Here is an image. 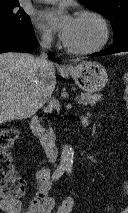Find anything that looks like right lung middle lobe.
<instances>
[{"label": "right lung middle lobe", "instance_id": "dd1d6c3e", "mask_svg": "<svg viewBox=\"0 0 128 213\" xmlns=\"http://www.w3.org/2000/svg\"><path fill=\"white\" fill-rule=\"evenodd\" d=\"M18 6H0V31L27 30L32 27L30 17Z\"/></svg>", "mask_w": 128, "mask_h": 213}]
</instances>
